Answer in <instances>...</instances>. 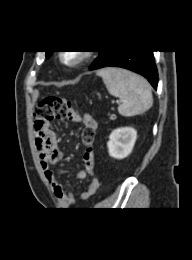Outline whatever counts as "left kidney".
<instances>
[{"mask_svg": "<svg viewBox=\"0 0 192 260\" xmlns=\"http://www.w3.org/2000/svg\"><path fill=\"white\" fill-rule=\"evenodd\" d=\"M136 138L137 131L131 127L115 129L107 143L109 155L116 159L127 157L132 152Z\"/></svg>", "mask_w": 192, "mask_h": 260, "instance_id": "left-kidney-1", "label": "left kidney"}]
</instances>
